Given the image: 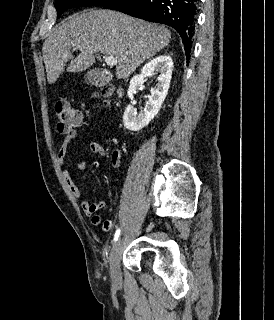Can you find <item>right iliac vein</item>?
<instances>
[{
  "instance_id": "obj_1",
  "label": "right iliac vein",
  "mask_w": 274,
  "mask_h": 320,
  "mask_svg": "<svg viewBox=\"0 0 274 320\" xmlns=\"http://www.w3.org/2000/svg\"><path fill=\"white\" fill-rule=\"evenodd\" d=\"M122 254V239L119 238L113 245L110 254V275L115 286H119L122 281L120 272V259Z\"/></svg>"
}]
</instances>
